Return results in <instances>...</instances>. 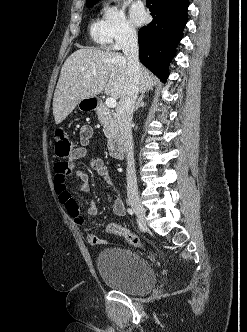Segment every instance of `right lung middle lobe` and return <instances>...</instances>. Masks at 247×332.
I'll use <instances>...</instances> for the list:
<instances>
[{
  "label": "right lung middle lobe",
  "mask_w": 247,
  "mask_h": 332,
  "mask_svg": "<svg viewBox=\"0 0 247 332\" xmlns=\"http://www.w3.org/2000/svg\"><path fill=\"white\" fill-rule=\"evenodd\" d=\"M93 5H94V4H88V5H87V7H89V8H90V7H92Z\"/></svg>",
  "instance_id": "1"
}]
</instances>
